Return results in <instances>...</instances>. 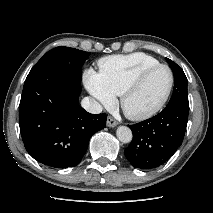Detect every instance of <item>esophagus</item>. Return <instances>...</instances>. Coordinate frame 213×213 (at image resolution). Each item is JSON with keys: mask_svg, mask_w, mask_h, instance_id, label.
Returning <instances> with one entry per match:
<instances>
[{"mask_svg": "<svg viewBox=\"0 0 213 213\" xmlns=\"http://www.w3.org/2000/svg\"><path fill=\"white\" fill-rule=\"evenodd\" d=\"M117 125H118V122L115 119H113L112 117L107 118V126L108 127H115Z\"/></svg>", "mask_w": 213, "mask_h": 213, "instance_id": "obj_1", "label": "esophagus"}]
</instances>
